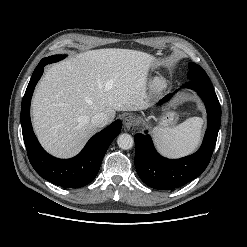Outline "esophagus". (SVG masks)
Wrapping results in <instances>:
<instances>
[{
	"label": "esophagus",
	"instance_id": "1",
	"mask_svg": "<svg viewBox=\"0 0 247 247\" xmlns=\"http://www.w3.org/2000/svg\"><path fill=\"white\" fill-rule=\"evenodd\" d=\"M123 124L125 128L130 129L137 124V119L135 116L129 114L123 119Z\"/></svg>",
	"mask_w": 247,
	"mask_h": 247
}]
</instances>
